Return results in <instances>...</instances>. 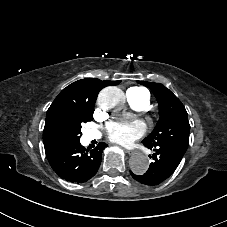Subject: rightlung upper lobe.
Masks as SVG:
<instances>
[{
    "label": "right lung upper lobe",
    "instance_id": "right-lung-upper-lobe-1",
    "mask_svg": "<svg viewBox=\"0 0 227 227\" xmlns=\"http://www.w3.org/2000/svg\"><path fill=\"white\" fill-rule=\"evenodd\" d=\"M121 81H101L96 78H86L78 80L66 88H64L56 99L51 104L47 114L58 104L69 102L73 104H81L87 106H94L97 95L101 89L106 86L117 85ZM44 141V140H43ZM46 156H51L56 150L51 149L48 143L44 142Z\"/></svg>",
    "mask_w": 227,
    "mask_h": 227
}]
</instances>
